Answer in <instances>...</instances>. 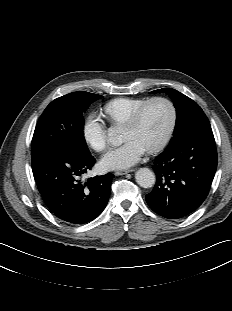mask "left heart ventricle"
<instances>
[{
  "mask_svg": "<svg viewBox=\"0 0 232 311\" xmlns=\"http://www.w3.org/2000/svg\"><path fill=\"white\" fill-rule=\"evenodd\" d=\"M170 116V109L166 103L152 104L136 127L124 128L123 140L135 139L147 149L152 147L164 136L170 122Z\"/></svg>",
  "mask_w": 232,
  "mask_h": 311,
  "instance_id": "left-heart-ventricle-1",
  "label": "left heart ventricle"
}]
</instances>
